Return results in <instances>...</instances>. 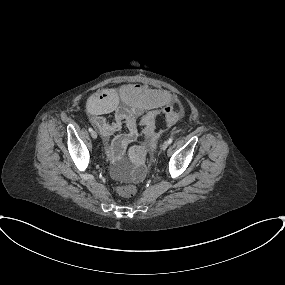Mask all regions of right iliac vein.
Masks as SVG:
<instances>
[{
	"label": "right iliac vein",
	"instance_id": "right-iliac-vein-1",
	"mask_svg": "<svg viewBox=\"0 0 285 285\" xmlns=\"http://www.w3.org/2000/svg\"><path fill=\"white\" fill-rule=\"evenodd\" d=\"M91 136H92L93 139H96V138H97V133H96V131L93 130V131L91 132Z\"/></svg>",
	"mask_w": 285,
	"mask_h": 285
}]
</instances>
